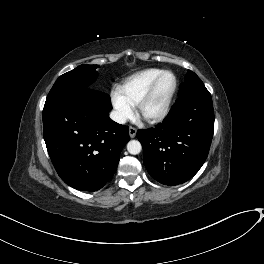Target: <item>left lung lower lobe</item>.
<instances>
[{"mask_svg": "<svg viewBox=\"0 0 264 264\" xmlns=\"http://www.w3.org/2000/svg\"><path fill=\"white\" fill-rule=\"evenodd\" d=\"M213 133L214 110L208 90L179 96L162 123L137 131L148 173L169 186L188 181L204 164Z\"/></svg>", "mask_w": 264, "mask_h": 264, "instance_id": "obj_1", "label": "left lung lower lobe"}]
</instances>
